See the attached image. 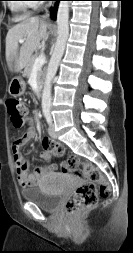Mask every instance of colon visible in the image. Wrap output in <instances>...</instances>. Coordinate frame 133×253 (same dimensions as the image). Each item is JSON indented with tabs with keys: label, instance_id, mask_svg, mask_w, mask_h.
<instances>
[{
	"label": "colon",
	"instance_id": "1",
	"mask_svg": "<svg viewBox=\"0 0 133 253\" xmlns=\"http://www.w3.org/2000/svg\"><path fill=\"white\" fill-rule=\"evenodd\" d=\"M6 108L12 124L16 128L22 127L27 120V107L16 98H8L6 100ZM42 141L44 148L50 153L54 155L64 154V147L60 143L51 140L50 137H43ZM60 165L63 171L72 172L76 175H84L90 180V182L77 188L67 200L65 204L67 213L75 214L83 212L97 203L99 195L103 197L109 195L110 183L94 165L89 163L83 164L81 171L78 168L80 161L74 155L68 156Z\"/></svg>",
	"mask_w": 133,
	"mask_h": 253
}]
</instances>
